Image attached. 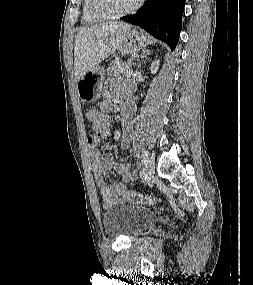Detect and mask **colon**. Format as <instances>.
I'll use <instances>...</instances> for the list:
<instances>
[{
    "instance_id": "colon-1",
    "label": "colon",
    "mask_w": 253,
    "mask_h": 285,
    "mask_svg": "<svg viewBox=\"0 0 253 285\" xmlns=\"http://www.w3.org/2000/svg\"><path fill=\"white\" fill-rule=\"evenodd\" d=\"M95 117L96 110L90 108L86 111V119L89 122H92ZM126 198L129 202H132L134 204L152 205L157 204L159 202V199L155 196H152L150 194L137 193L133 191H127Z\"/></svg>"
}]
</instances>
